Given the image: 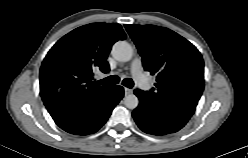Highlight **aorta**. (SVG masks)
I'll return each mask as SVG.
<instances>
[{
    "label": "aorta",
    "mask_w": 248,
    "mask_h": 158,
    "mask_svg": "<svg viewBox=\"0 0 248 158\" xmlns=\"http://www.w3.org/2000/svg\"><path fill=\"white\" fill-rule=\"evenodd\" d=\"M112 56L120 62H127L131 60L133 55V49L131 45L126 41L116 42L111 50ZM139 104L138 97L134 94H129L124 98V105L128 109H135Z\"/></svg>",
    "instance_id": "aorta-1"
}]
</instances>
